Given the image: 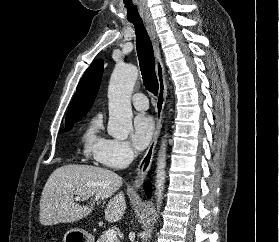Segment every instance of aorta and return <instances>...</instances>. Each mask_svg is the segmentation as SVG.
<instances>
[{
  "label": "aorta",
  "instance_id": "1",
  "mask_svg": "<svg viewBox=\"0 0 279 242\" xmlns=\"http://www.w3.org/2000/svg\"><path fill=\"white\" fill-rule=\"evenodd\" d=\"M138 77V69L132 64L119 63L115 66L111 75L108 88V105L109 120L107 132L117 140H125L132 131V108L131 95L135 82ZM166 140L162 141L161 149L157 158L155 194L157 201V209H159L163 200V191L166 179ZM156 214L152 220V224L156 222ZM151 229L144 235L147 240ZM145 242V241H144Z\"/></svg>",
  "mask_w": 279,
  "mask_h": 242
}]
</instances>
